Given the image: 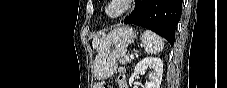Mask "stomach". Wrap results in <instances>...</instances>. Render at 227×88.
Instances as JSON below:
<instances>
[{
    "mask_svg": "<svg viewBox=\"0 0 227 88\" xmlns=\"http://www.w3.org/2000/svg\"><path fill=\"white\" fill-rule=\"evenodd\" d=\"M135 37L136 32L132 27L120 26L101 40L93 63L97 78L106 79L114 73L117 62L125 56Z\"/></svg>",
    "mask_w": 227,
    "mask_h": 88,
    "instance_id": "obj_1",
    "label": "stomach"
}]
</instances>
